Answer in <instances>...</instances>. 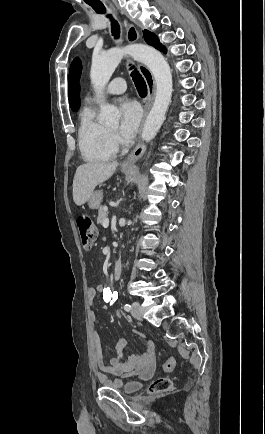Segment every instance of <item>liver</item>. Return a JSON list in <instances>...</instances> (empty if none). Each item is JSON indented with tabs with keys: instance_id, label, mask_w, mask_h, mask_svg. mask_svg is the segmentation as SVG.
<instances>
[{
	"instance_id": "obj_1",
	"label": "liver",
	"mask_w": 265,
	"mask_h": 434,
	"mask_svg": "<svg viewBox=\"0 0 265 434\" xmlns=\"http://www.w3.org/2000/svg\"><path fill=\"white\" fill-rule=\"evenodd\" d=\"M117 166H119L118 162H113V164L88 162V164L79 166L73 180V200L75 204L77 206L86 204L96 186L111 178Z\"/></svg>"
}]
</instances>
